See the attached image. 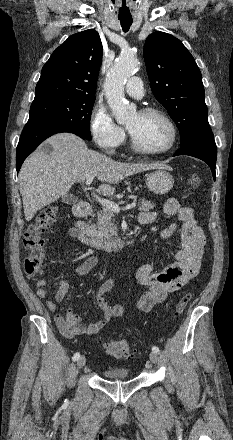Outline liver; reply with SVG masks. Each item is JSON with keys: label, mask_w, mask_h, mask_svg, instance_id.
Returning a JSON list of instances; mask_svg holds the SVG:
<instances>
[{"label": "liver", "mask_w": 233, "mask_h": 440, "mask_svg": "<svg viewBox=\"0 0 233 440\" xmlns=\"http://www.w3.org/2000/svg\"><path fill=\"white\" fill-rule=\"evenodd\" d=\"M44 144L52 147L45 154L42 145L23 163L19 172V186L26 221L37 211L66 195L76 182L88 176L105 182L100 192L113 195L117 184L124 178L151 169H164L162 163H121L99 152L88 149L86 143L72 133H58Z\"/></svg>", "instance_id": "obj_1"}]
</instances>
